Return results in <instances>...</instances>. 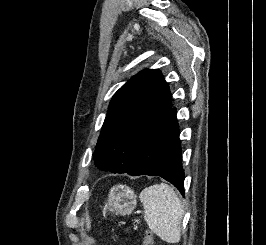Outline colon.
Returning a JSON list of instances; mask_svg holds the SVG:
<instances>
[{
	"label": "colon",
	"instance_id": "1",
	"mask_svg": "<svg viewBox=\"0 0 266 245\" xmlns=\"http://www.w3.org/2000/svg\"><path fill=\"white\" fill-rule=\"evenodd\" d=\"M143 245H154V239L150 232H145Z\"/></svg>",
	"mask_w": 266,
	"mask_h": 245
}]
</instances>
